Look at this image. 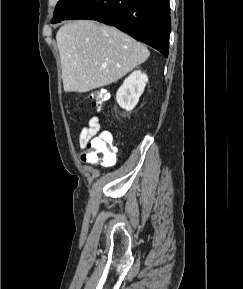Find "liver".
Returning a JSON list of instances; mask_svg holds the SVG:
<instances>
[{
	"label": "liver",
	"mask_w": 243,
	"mask_h": 289,
	"mask_svg": "<svg viewBox=\"0 0 243 289\" xmlns=\"http://www.w3.org/2000/svg\"><path fill=\"white\" fill-rule=\"evenodd\" d=\"M56 40L65 92L84 93L114 83L150 55L129 35L91 20L62 26Z\"/></svg>",
	"instance_id": "6515ba94"
}]
</instances>
